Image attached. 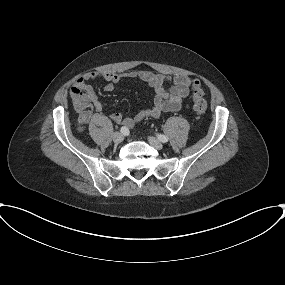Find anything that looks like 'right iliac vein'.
Masks as SVG:
<instances>
[{
    "instance_id": "right-iliac-vein-1",
    "label": "right iliac vein",
    "mask_w": 285,
    "mask_h": 285,
    "mask_svg": "<svg viewBox=\"0 0 285 285\" xmlns=\"http://www.w3.org/2000/svg\"><path fill=\"white\" fill-rule=\"evenodd\" d=\"M112 139L115 143H120L124 140V135L121 132H114L112 134Z\"/></svg>"
}]
</instances>
